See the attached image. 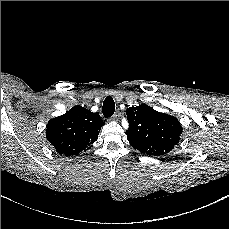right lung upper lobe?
Returning a JSON list of instances; mask_svg holds the SVG:
<instances>
[{
  "label": "right lung upper lobe",
  "mask_w": 229,
  "mask_h": 229,
  "mask_svg": "<svg viewBox=\"0 0 229 229\" xmlns=\"http://www.w3.org/2000/svg\"><path fill=\"white\" fill-rule=\"evenodd\" d=\"M103 125L98 113L75 106L48 122L46 137L59 154L76 155L98 139Z\"/></svg>",
  "instance_id": "cb5924a9"
}]
</instances>
